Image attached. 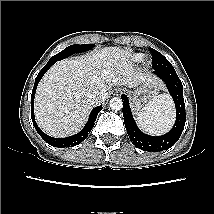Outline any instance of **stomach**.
Listing matches in <instances>:
<instances>
[{"label": "stomach", "mask_w": 214, "mask_h": 214, "mask_svg": "<svg viewBox=\"0 0 214 214\" xmlns=\"http://www.w3.org/2000/svg\"><path fill=\"white\" fill-rule=\"evenodd\" d=\"M159 90L160 85L157 82H145L137 86L131 94L133 110L140 111L157 95Z\"/></svg>", "instance_id": "obj_1"}]
</instances>
